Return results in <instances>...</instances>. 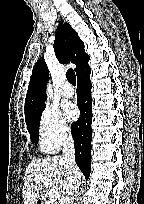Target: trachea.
Returning <instances> with one entry per match:
<instances>
[{"instance_id":"1","label":"trachea","mask_w":144,"mask_h":204,"mask_svg":"<svg viewBox=\"0 0 144 204\" xmlns=\"http://www.w3.org/2000/svg\"><path fill=\"white\" fill-rule=\"evenodd\" d=\"M66 77L68 81L75 86L76 85V75L75 72L72 69H69L66 73Z\"/></svg>"}]
</instances>
